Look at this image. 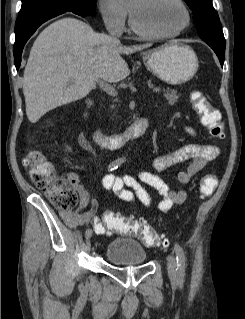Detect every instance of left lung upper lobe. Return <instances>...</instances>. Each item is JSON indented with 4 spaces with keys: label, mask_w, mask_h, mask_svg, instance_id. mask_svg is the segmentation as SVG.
Masks as SVG:
<instances>
[{
    "label": "left lung upper lobe",
    "mask_w": 245,
    "mask_h": 319,
    "mask_svg": "<svg viewBox=\"0 0 245 319\" xmlns=\"http://www.w3.org/2000/svg\"><path fill=\"white\" fill-rule=\"evenodd\" d=\"M193 11L200 37L209 45L225 51V38L212 0H184Z\"/></svg>",
    "instance_id": "left-lung-upper-lobe-1"
}]
</instances>
